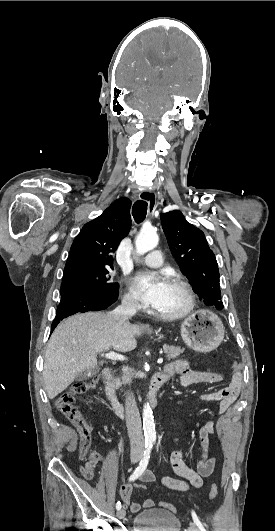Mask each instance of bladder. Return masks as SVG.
I'll return each instance as SVG.
<instances>
[{
	"label": "bladder",
	"instance_id": "1",
	"mask_svg": "<svg viewBox=\"0 0 275 531\" xmlns=\"http://www.w3.org/2000/svg\"><path fill=\"white\" fill-rule=\"evenodd\" d=\"M180 526V520L173 512L156 508L137 513L133 531H180Z\"/></svg>",
	"mask_w": 275,
	"mask_h": 531
}]
</instances>
